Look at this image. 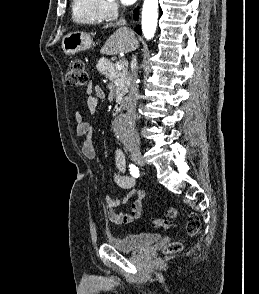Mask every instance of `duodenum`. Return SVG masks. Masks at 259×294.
Instances as JSON below:
<instances>
[{
  "label": "duodenum",
  "mask_w": 259,
  "mask_h": 294,
  "mask_svg": "<svg viewBox=\"0 0 259 294\" xmlns=\"http://www.w3.org/2000/svg\"><path fill=\"white\" fill-rule=\"evenodd\" d=\"M123 109L124 105L122 103H119L114 110V115H118L121 111H123Z\"/></svg>",
  "instance_id": "duodenum-1"
}]
</instances>
